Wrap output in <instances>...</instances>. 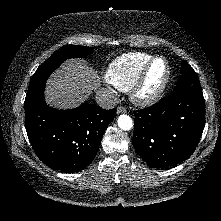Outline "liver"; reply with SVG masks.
Returning <instances> with one entry per match:
<instances>
[{"mask_svg":"<svg viewBox=\"0 0 221 221\" xmlns=\"http://www.w3.org/2000/svg\"><path fill=\"white\" fill-rule=\"evenodd\" d=\"M97 71L79 59H69L47 81L46 102L60 109L78 106L100 88Z\"/></svg>","mask_w":221,"mask_h":221,"instance_id":"1","label":"liver"}]
</instances>
